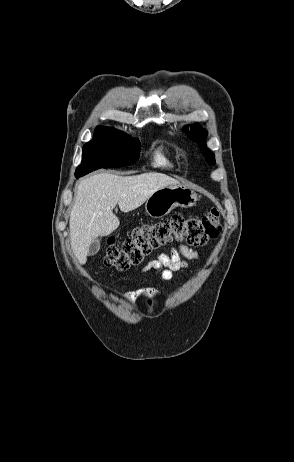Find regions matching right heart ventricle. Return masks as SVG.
<instances>
[{"instance_id": "e07e8e85", "label": "right heart ventricle", "mask_w": 294, "mask_h": 462, "mask_svg": "<svg viewBox=\"0 0 294 462\" xmlns=\"http://www.w3.org/2000/svg\"><path fill=\"white\" fill-rule=\"evenodd\" d=\"M173 158L174 153L163 144H159L154 150L152 163L158 168L172 169L174 167Z\"/></svg>"}]
</instances>
